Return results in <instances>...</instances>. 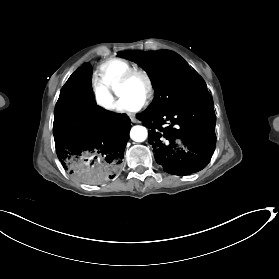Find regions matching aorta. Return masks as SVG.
<instances>
[{
  "label": "aorta",
  "mask_w": 279,
  "mask_h": 279,
  "mask_svg": "<svg viewBox=\"0 0 279 279\" xmlns=\"http://www.w3.org/2000/svg\"><path fill=\"white\" fill-rule=\"evenodd\" d=\"M148 136L147 129L144 126H134L131 128L130 137L135 142H143Z\"/></svg>",
  "instance_id": "obj_1"
}]
</instances>
